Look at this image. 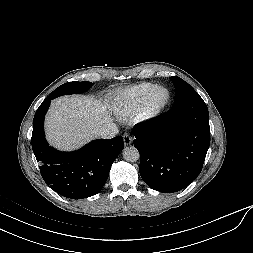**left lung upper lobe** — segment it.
<instances>
[{"label":"left lung upper lobe","mask_w":253,"mask_h":253,"mask_svg":"<svg viewBox=\"0 0 253 253\" xmlns=\"http://www.w3.org/2000/svg\"><path fill=\"white\" fill-rule=\"evenodd\" d=\"M171 80L175 87L174 106L192 98L200 97V95L183 79L173 76Z\"/></svg>","instance_id":"left-lung-upper-lobe-1"}]
</instances>
